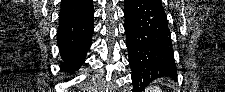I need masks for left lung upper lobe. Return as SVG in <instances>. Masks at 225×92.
Instances as JSON below:
<instances>
[{
	"label": "left lung upper lobe",
	"mask_w": 225,
	"mask_h": 92,
	"mask_svg": "<svg viewBox=\"0 0 225 92\" xmlns=\"http://www.w3.org/2000/svg\"><path fill=\"white\" fill-rule=\"evenodd\" d=\"M153 1H156V2H159V3H161V0H153Z\"/></svg>",
	"instance_id": "1"
}]
</instances>
